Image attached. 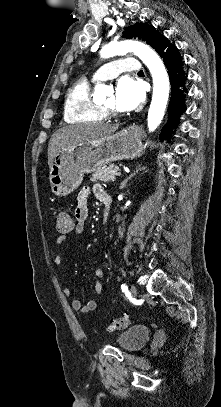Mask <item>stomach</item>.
I'll list each match as a JSON object with an SVG mask.
<instances>
[{
    "instance_id": "obj_1",
    "label": "stomach",
    "mask_w": 221,
    "mask_h": 407,
    "mask_svg": "<svg viewBox=\"0 0 221 407\" xmlns=\"http://www.w3.org/2000/svg\"><path fill=\"white\" fill-rule=\"evenodd\" d=\"M141 131L128 127L95 141L80 142L61 149L49 171L51 191L67 196L82 183L84 174L92 173L106 164L142 155Z\"/></svg>"
}]
</instances>
